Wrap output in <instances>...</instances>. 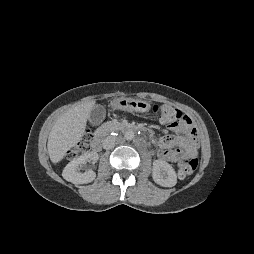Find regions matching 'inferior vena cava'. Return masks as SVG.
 Listing matches in <instances>:
<instances>
[{
	"instance_id": "602c4592",
	"label": "inferior vena cava",
	"mask_w": 254,
	"mask_h": 254,
	"mask_svg": "<svg viewBox=\"0 0 254 254\" xmlns=\"http://www.w3.org/2000/svg\"><path fill=\"white\" fill-rule=\"evenodd\" d=\"M103 148L106 150L112 149L115 146V138L108 136L102 141Z\"/></svg>"
}]
</instances>
